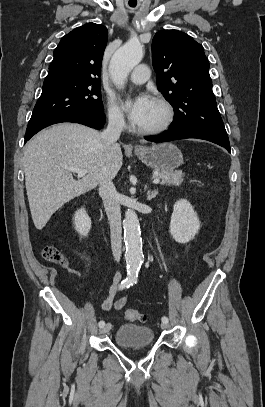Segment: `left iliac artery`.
<instances>
[{"label":"left iliac artery","instance_id":"44dca946","mask_svg":"<svg viewBox=\"0 0 265 407\" xmlns=\"http://www.w3.org/2000/svg\"><path fill=\"white\" fill-rule=\"evenodd\" d=\"M135 283H136V281H135ZM162 322L168 323V318H167L166 316H163V317H162Z\"/></svg>","mask_w":265,"mask_h":407}]
</instances>
